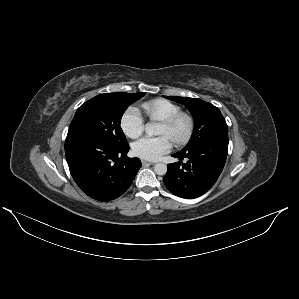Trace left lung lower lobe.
<instances>
[{
    "mask_svg": "<svg viewBox=\"0 0 299 299\" xmlns=\"http://www.w3.org/2000/svg\"><path fill=\"white\" fill-rule=\"evenodd\" d=\"M227 153L228 136H220L172 155L179 161L167 165L168 171L163 178L167 189L187 199L203 195L217 181Z\"/></svg>",
    "mask_w": 299,
    "mask_h": 299,
    "instance_id": "obj_1",
    "label": "left lung lower lobe"
}]
</instances>
